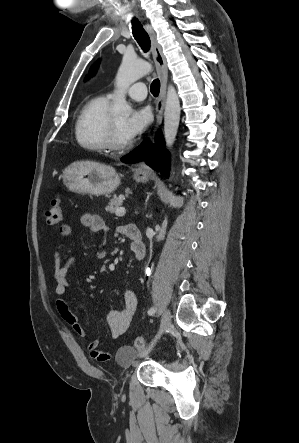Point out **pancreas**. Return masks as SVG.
Returning a JSON list of instances; mask_svg holds the SVG:
<instances>
[{"label": "pancreas", "instance_id": "obj_1", "mask_svg": "<svg viewBox=\"0 0 299 443\" xmlns=\"http://www.w3.org/2000/svg\"><path fill=\"white\" fill-rule=\"evenodd\" d=\"M123 203V195L114 196L105 210L111 214L115 213L118 208L122 206Z\"/></svg>", "mask_w": 299, "mask_h": 443}]
</instances>
